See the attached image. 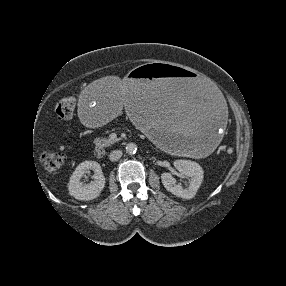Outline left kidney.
I'll return each mask as SVG.
<instances>
[{
	"label": "left kidney",
	"instance_id": "1",
	"mask_svg": "<svg viewBox=\"0 0 286 286\" xmlns=\"http://www.w3.org/2000/svg\"><path fill=\"white\" fill-rule=\"evenodd\" d=\"M173 164L180 173L190 178V184L187 188H183L180 184H176L175 178L170 173H163L161 180L164 187L177 197L183 199L193 198L203 181L204 172L202 167L190 160H176Z\"/></svg>",
	"mask_w": 286,
	"mask_h": 286
}]
</instances>
